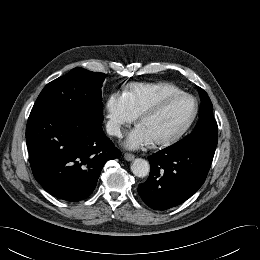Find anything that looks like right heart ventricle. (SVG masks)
<instances>
[{
	"mask_svg": "<svg viewBox=\"0 0 260 260\" xmlns=\"http://www.w3.org/2000/svg\"><path fill=\"white\" fill-rule=\"evenodd\" d=\"M177 91L181 90L167 82L136 83L128 86L123 95L131 111L135 115H139L158 98Z\"/></svg>",
	"mask_w": 260,
	"mask_h": 260,
	"instance_id": "1",
	"label": "right heart ventricle"
}]
</instances>
